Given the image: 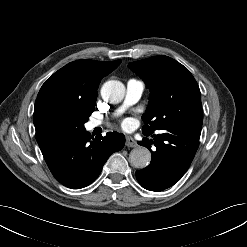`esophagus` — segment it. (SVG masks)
<instances>
[{"instance_id":"34e87169","label":"esophagus","mask_w":247,"mask_h":247,"mask_svg":"<svg viewBox=\"0 0 247 247\" xmlns=\"http://www.w3.org/2000/svg\"><path fill=\"white\" fill-rule=\"evenodd\" d=\"M126 146L127 147H137V143L132 137L127 136L126 137Z\"/></svg>"}]
</instances>
